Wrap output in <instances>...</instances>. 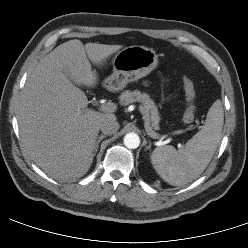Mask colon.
Wrapping results in <instances>:
<instances>
[{
	"mask_svg": "<svg viewBox=\"0 0 248 248\" xmlns=\"http://www.w3.org/2000/svg\"><path fill=\"white\" fill-rule=\"evenodd\" d=\"M183 86L189 102V105L183 115V122L186 124H190L194 121L195 112H196V107L194 105V100L196 95L195 88L193 82L189 79H184Z\"/></svg>",
	"mask_w": 248,
	"mask_h": 248,
	"instance_id": "1",
	"label": "colon"
}]
</instances>
